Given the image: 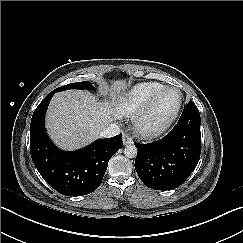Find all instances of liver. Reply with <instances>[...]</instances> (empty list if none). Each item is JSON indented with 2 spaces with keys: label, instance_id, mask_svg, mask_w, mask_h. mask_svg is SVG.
Instances as JSON below:
<instances>
[{
  "label": "liver",
  "instance_id": "liver-1",
  "mask_svg": "<svg viewBox=\"0 0 243 243\" xmlns=\"http://www.w3.org/2000/svg\"><path fill=\"white\" fill-rule=\"evenodd\" d=\"M125 88V80L112 81L105 86L104 92H109L111 101H98L82 90L56 93L46 115L49 136L58 147L69 151L92 143L114 120L116 100Z\"/></svg>",
  "mask_w": 243,
  "mask_h": 243
}]
</instances>
